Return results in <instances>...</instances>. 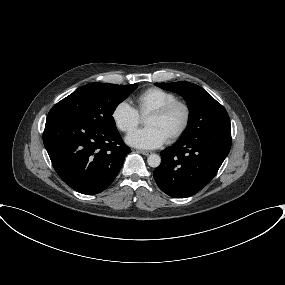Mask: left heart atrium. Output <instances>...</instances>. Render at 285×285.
Returning a JSON list of instances; mask_svg holds the SVG:
<instances>
[{
  "mask_svg": "<svg viewBox=\"0 0 285 285\" xmlns=\"http://www.w3.org/2000/svg\"><path fill=\"white\" fill-rule=\"evenodd\" d=\"M167 138L164 133L155 126H147L131 132L126 137V142L140 149H155L166 142Z\"/></svg>",
  "mask_w": 285,
  "mask_h": 285,
  "instance_id": "obj_1",
  "label": "left heart atrium"
}]
</instances>
